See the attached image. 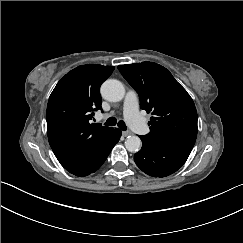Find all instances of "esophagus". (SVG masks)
Segmentation results:
<instances>
[{
	"label": "esophagus",
	"instance_id": "obj_1",
	"mask_svg": "<svg viewBox=\"0 0 243 243\" xmlns=\"http://www.w3.org/2000/svg\"><path fill=\"white\" fill-rule=\"evenodd\" d=\"M133 133L131 131H123L122 136L127 137L129 135H132Z\"/></svg>",
	"mask_w": 243,
	"mask_h": 243
}]
</instances>
